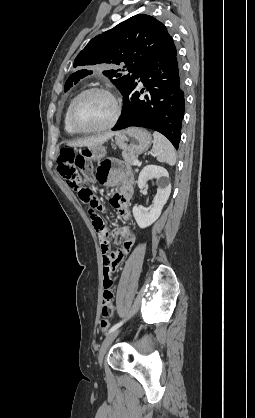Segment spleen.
<instances>
[{
    "instance_id": "3e777b00",
    "label": "spleen",
    "mask_w": 255,
    "mask_h": 418,
    "mask_svg": "<svg viewBox=\"0 0 255 418\" xmlns=\"http://www.w3.org/2000/svg\"><path fill=\"white\" fill-rule=\"evenodd\" d=\"M153 152L157 160L170 166L176 163V153L171 142L161 133H153Z\"/></svg>"
}]
</instances>
